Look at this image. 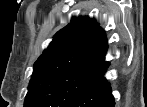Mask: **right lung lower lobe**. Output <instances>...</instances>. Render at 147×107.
Returning a JSON list of instances; mask_svg holds the SVG:
<instances>
[{
    "label": "right lung lower lobe",
    "mask_w": 147,
    "mask_h": 107,
    "mask_svg": "<svg viewBox=\"0 0 147 107\" xmlns=\"http://www.w3.org/2000/svg\"><path fill=\"white\" fill-rule=\"evenodd\" d=\"M107 64L92 82L67 107H114L115 101L109 82L104 78Z\"/></svg>",
    "instance_id": "obj_1"
}]
</instances>
